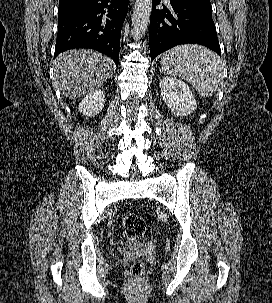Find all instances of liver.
I'll use <instances>...</instances> for the list:
<instances>
[{
    "label": "liver",
    "instance_id": "obj_1",
    "mask_svg": "<svg viewBox=\"0 0 272 303\" xmlns=\"http://www.w3.org/2000/svg\"><path fill=\"white\" fill-rule=\"evenodd\" d=\"M112 71L111 58L91 49L66 51L55 60V81L70 99L95 91L112 76Z\"/></svg>",
    "mask_w": 272,
    "mask_h": 303
}]
</instances>
